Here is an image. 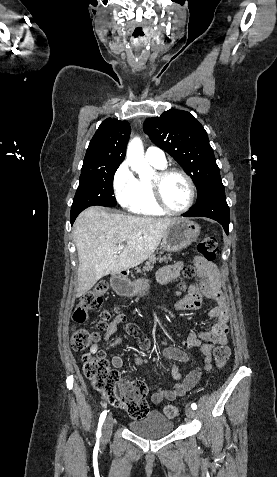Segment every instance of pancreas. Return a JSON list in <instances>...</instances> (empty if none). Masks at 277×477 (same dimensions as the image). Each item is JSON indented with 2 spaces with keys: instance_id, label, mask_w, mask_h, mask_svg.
I'll list each match as a JSON object with an SVG mask.
<instances>
[{
  "instance_id": "obj_1",
  "label": "pancreas",
  "mask_w": 277,
  "mask_h": 477,
  "mask_svg": "<svg viewBox=\"0 0 277 477\" xmlns=\"http://www.w3.org/2000/svg\"><path fill=\"white\" fill-rule=\"evenodd\" d=\"M162 254V252H160ZM168 259H171L170 254L161 256L152 255L149 257L143 269L137 268V272H144L146 270H153L156 261L167 262Z\"/></svg>"
}]
</instances>
